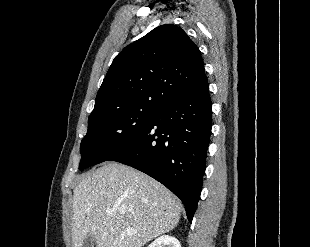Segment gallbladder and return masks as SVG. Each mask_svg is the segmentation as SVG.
I'll list each match as a JSON object with an SVG mask.
<instances>
[{"label": "gallbladder", "mask_w": 310, "mask_h": 247, "mask_svg": "<svg viewBox=\"0 0 310 247\" xmlns=\"http://www.w3.org/2000/svg\"><path fill=\"white\" fill-rule=\"evenodd\" d=\"M95 238L92 234H88L81 247H94Z\"/></svg>", "instance_id": "obj_1"}]
</instances>
